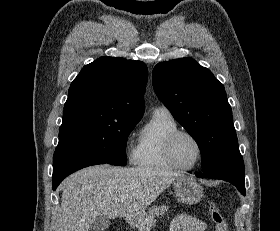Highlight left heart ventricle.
<instances>
[{"label":"left heart ventricle","mask_w":280,"mask_h":231,"mask_svg":"<svg viewBox=\"0 0 280 231\" xmlns=\"http://www.w3.org/2000/svg\"><path fill=\"white\" fill-rule=\"evenodd\" d=\"M175 161L183 167L196 165L199 158V148L194 139L187 135L177 138L173 147Z\"/></svg>","instance_id":"obj_1"}]
</instances>
